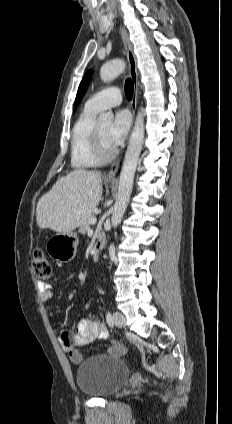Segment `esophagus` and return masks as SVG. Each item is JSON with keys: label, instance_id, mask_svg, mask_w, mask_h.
<instances>
[{"label": "esophagus", "instance_id": "1", "mask_svg": "<svg viewBox=\"0 0 232 424\" xmlns=\"http://www.w3.org/2000/svg\"><path fill=\"white\" fill-rule=\"evenodd\" d=\"M120 33L122 37V41L124 44V48L127 55V60L129 64V76L133 82L134 85V94L131 101V110L133 117L135 115L136 107H137V99H138V72H137V61L136 57L133 52L132 44L129 40L128 34L126 30L121 26L120 27ZM121 158H118L110 167L109 171L105 174L106 179H115V176L118 172L119 165H120Z\"/></svg>", "mask_w": 232, "mask_h": 424}]
</instances>
